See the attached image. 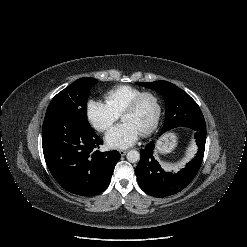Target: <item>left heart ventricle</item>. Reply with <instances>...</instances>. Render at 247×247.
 <instances>
[{
    "label": "left heart ventricle",
    "instance_id": "1",
    "mask_svg": "<svg viewBox=\"0 0 247 247\" xmlns=\"http://www.w3.org/2000/svg\"><path fill=\"white\" fill-rule=\"evenodd\" d=\"M157 106L153 97H145L138 108L132 112L126 113L122 117L123 122L133 124L141 133L150 127L156 117Z\"/></svg>",
    "mask_w": 247,
    "mask_h": 247
}]
</instances>
